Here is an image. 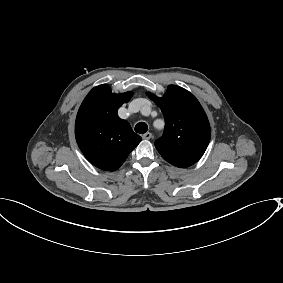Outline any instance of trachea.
Wrapping results in <instances>:
<instances>
[{
  "label": "trachea",
  "instance_id": "1",
  "mask_svg": "<svg viewBox=\"0 0 283 283\" xmlns=\"http://www.w3.org/2000/svg\"><path fill=\"white\" fill-rule=\"evenodd\" d=\"M135 131L137 133H146L148 131V125L145 122H139L135 125Z\"/></svg>",
  "mask_w": 283,
  "mask_h": 283
}]
</instances>
